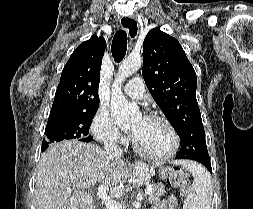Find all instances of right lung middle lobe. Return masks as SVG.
<instances>
[{
  "label": "right lung middle lobe",
  "instance_id": "right-lung-middle-lobe-1",
  "mask_svg": "<svg viewBox=\"0 0 253 209\" xmlns=\"http://www.w3.org/2000/svg\"><path fill=\"white\" fill-rule=\"evenodd\" d=\"M98 107L49 117L41 150L45 151L49 144L66 139L88 142L92 138L88 135L91 121Z\"/></svg>",
  "mask_w": 253,
  "mask_h": 209
}]
</instances>
